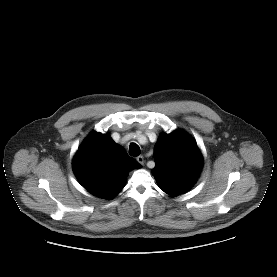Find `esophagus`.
I'll list each match as a JSON object with an SVG mask.
<instances>
[{
  "mask_svg": "<svg viewBox=\"0 0 277 277\" xmlns=\"http://www.w3.org/2000/svg\"><path fill=\"white\" fill-rule=\"evenodd\" d=\"M136 160H137L141 165L144 164V157H143V156H138V157L136 158Z\"/></svg>",
  "mask_w": 277,
  "mask_h": 277,
  "instance_id": "obj_1",
  "label": "esophagus"
}]
</instances>
